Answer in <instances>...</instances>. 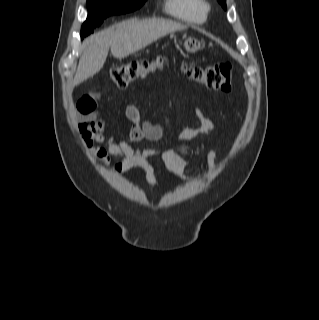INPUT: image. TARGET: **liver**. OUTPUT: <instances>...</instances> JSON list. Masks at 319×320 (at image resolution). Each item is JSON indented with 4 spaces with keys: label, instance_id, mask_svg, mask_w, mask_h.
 I'll list each match as a JSON object with an SVG mask.
<instances>
[{
    "label": "liver",
    "instance_id": "liver-1",
    "mask_svg": "<svg viewBox=\"0 0 319 320\" xmlns=\"http://www.w3.org/2000/svg\"><path fill=\"white\" fill-rule=\"evenodd\" d=\"M185 28L180 23L164 19H129L89 36L83 42L84 50L74 76V84L98 73L106 61L109 49L115 58L122 59L169 33Z\"/></svg>",
    "mask_w": 319,
    "mask_h": 320
}]
</instances>
